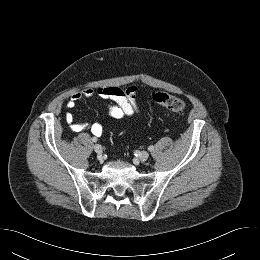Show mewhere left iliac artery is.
I'll list each match as a JSON object with an SVG mask.
<instances>
[{
    "mask_svg": "<svg viewBox=\"0 0 260 260\" xmlns=\"http://www.w3.org/2000/svg\"><path fill=\"white\" fill-rule=\"evenodd\" d=\"M148 150H149V151H153V150H154V147L151 145V146L148 147Z\"/></svg>",
    "mask_w": 260,
    "mask_h": 260,
    "instance_id": "obj_1",
    "label": "left iliac artery"
}]
</instances>
